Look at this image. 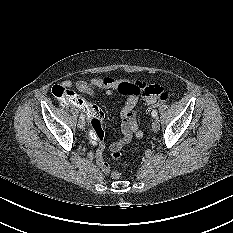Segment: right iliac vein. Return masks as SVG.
<instances>
[{
	"instance_id": "1",
	"label": "right iliac vein",
	"mask_w": 233,
	"mask_h": 233,
	"mask_svg": "<svg viewBox=\"0 0 233 233\" xmlns=\"http://www.w3.org/2000/svg\"><path fill=\"white\" fill-rule=\"evenodd\" d=\"M85 120L80 119L78 122V128L83 129L85 127Z\"/></svg>"
}]
</instances>
